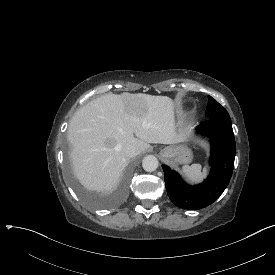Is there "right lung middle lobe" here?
Listing matches in <instances>:
<instances>
[{
    "mask_svg": "<svg viewBox=\"0 0 275 275\" xmlns=\"http://www.w3.org/2000/svg\"><path fill=\"white\" fill-rule=\"evenodd\" d=\"M63 151V164L62 168L65 174V177L68 178L69 182H72L71 186L73 190H76V194L78 197L82 198L86 205L91 206L92 208H104L118 205L120 202L124 201L126 192L129 189L130 183L133 180V177L129 173L123 174L122 180L119 182L117 187L113 189L109 193H99L96 190L94 193H91V185L83 184L81 185V180L77 179V174L74 173L73 170V146L71 142H64L62 146ZM129 171L137 172L138 171V163L130 162L129 163ZM82 186V188H81Z\"/></svg>",
    "mask_w": 275,
    "mask_h": 275,
    "instance_id": "right-lung-middle-lobe-1",
    "label": "right lung middle lobe"
}]
</instances>
